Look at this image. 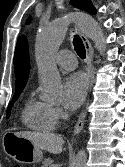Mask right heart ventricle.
<instances>
[{
  "instance_id": "e07e8e85",
  "label": "right heart ventricle",
  "mask_w": 125,
  "mask_h": 167,
  "mask_svg": "<svg viewBox=\"0 0 125 167\" xmlns=\"http://www.w3.org/2000/svg\"><path fill=\"white\" fill-rule=\"evenodd\" d=\"M50 105L30 95L21 111L22 123L29 129L48 132L55 128L56 123L51 116Z\"/></svg>"
}]
</instances>
